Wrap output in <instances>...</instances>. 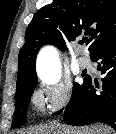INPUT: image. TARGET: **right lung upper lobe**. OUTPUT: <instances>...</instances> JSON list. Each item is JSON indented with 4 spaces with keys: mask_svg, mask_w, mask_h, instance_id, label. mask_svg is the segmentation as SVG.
<instances>
[{
    "mask_svg": "<svg viewBox=\"0 0 116 134\" xmlns=\"http://www.w3.org/2000/svg\"><path fill=\"white\" fill-rule=\"evenodd\" d=\"M84 35L90 55L116 39L115 0H53L33 17L18 56L16 95L37 82L35 60L46 44L67 50L66 43Z\"/></svg>",
    "mask_w": 116,
    "mask_h": 134,
    "instance_id": "1",
    "label": "right lung upper lobe"
}]
</instances>
